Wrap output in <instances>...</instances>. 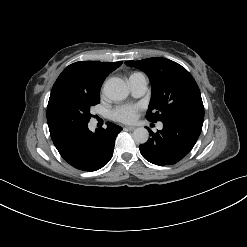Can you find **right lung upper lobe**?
<instances>
[{"label": "right lung upper lobe", "mask_w": 247, "mask_h": 247, "mask_svg": "<svg viewBox=\"0 0 247 247\" xmlns=\"http://www.w3.org/2000/svg\"><path fill=\"white\" fill-rule=\"evenodd\" d=\"M122 62L79 61L67 66L53 85L51 95L62 89L99 93L104 79Z\"/></svg>", "instance_id": "cb5924a9"}]
</instances>
